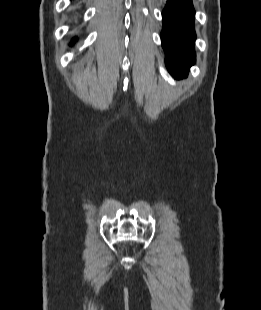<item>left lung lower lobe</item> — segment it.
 <instances>
[{"label":"left lung lower lobe","instance_id":"0a47b994","mask_svg":"<svg viewBox=\"0 0 261 310\" xmlns=\"http://www.w3.org/2000/svg\"><path fill=\"white\" fill-rule=\"evenodd\" d=\"M194 16L192 0H167L162 13V46L166 66L175 78L185 77L195 62Z\"/></svg>","mask_w":261,"mask_h":310}]
</instances>
